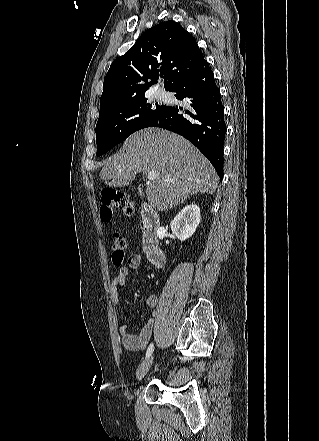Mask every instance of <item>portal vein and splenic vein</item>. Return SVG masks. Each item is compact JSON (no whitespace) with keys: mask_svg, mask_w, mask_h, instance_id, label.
<instances>
[{"mask_svg":"<svg viewBox=\"0 0 319 441\" xmlns=\"http://www.w3.org/2000/svg\"><path fill=\"white\" fill-rule=\"evenodd\" d=\"M157 177H158V173L156 171L148 172L147 179L149 181H154L157 179ZM165 182H175V180L174 179H166Z\"/></svg>","mask_w":319,"mask_h":441,"instance_id":"1","label":"portal vein and splenic vein"}]
</instances>
